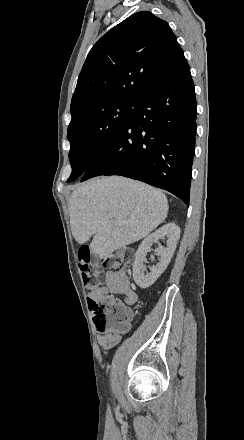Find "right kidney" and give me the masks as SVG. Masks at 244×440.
<instances>
[{
  "instance_id": "ca27d5eb",
  "label": "right kidney",
  "mask_w": 244,
  "mask_h": 440,
  "mask_svg": "<svg viewBox=\"0 0 244 440\" xmlns=\"http://www.w3.org/2000/svg\"><path fill=\"white\" fill-rule=\"evenodd\" d=\"M165 236L167 238V248L160 246V248L155 250L157 256H160L159 264L151 266L149 274H146L145 276L143 270L146 256L148 252H151V246H153L154 242H158L161 238L165 240ZM179 238L180 228H178L174 222H170V224H165V226H162V228H159L154 234H150V236H147V238L141 242L133 264V280L139 288H143V290L149 288V286H152L157 278L163 274L169 262H171Z\"/></svg>"
}]
</instances>
